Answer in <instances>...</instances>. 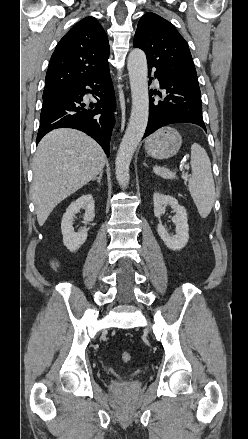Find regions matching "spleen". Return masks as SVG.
<instances>
[{
  "label": "spleen",
  "mask_w": 248,
  "mask_h": 439,
  "mask_svg": "<svg viewBox=\"0 0 248 439\" xmlns=\"http://www.w3.org/2000/svg\"><path fill=\"white\" fill-rule=\"evenodd\" d=\"M192 174L188 181V189L202 218H206L214 205L215 185L212 176L210 159L203 147L195 143L191 147ZM154 172L166 179L175 178L169 169L154 167Z\"/></svg>",
  "instance_id": "spleen-1"
}]
</instances>
